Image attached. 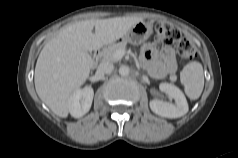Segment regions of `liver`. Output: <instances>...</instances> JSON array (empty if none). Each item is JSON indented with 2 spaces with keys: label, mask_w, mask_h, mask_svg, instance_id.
I'll use <instances>...</instances> for the list:
<instances>
[{
  "label": "liver",
  "mask_w": 238,
  "mask_h": 158,
  "mask_svg": "<svg viewBox=\"0 0 238 158\" xmlns=\"http://www.w3.org/2000/svg\"><path fill=\"white\" fill-rule=\"evenodd\" d=\"M140 21L139 17H115L63 27L37 59L34 82L39 98L54 114L66 118L71 97L86 82L93 66L88 52L117 41Z\"/></svg>",
  "instance_id": "liver-1"
}]
</instances>
